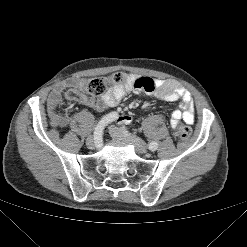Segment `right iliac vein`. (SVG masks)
I'll use <instances>...</instances> for the list:
<instances>
[{"mask_svg": "<svg viewBox=\"0 0 247 247\" xmlns=\"http://www.w3.org/2000/svg\"><path fill=\"white\" fill-rule=\"evenodd\" d=\"M86 145L90 149H94L95 148V140L93 139V137H88L87 138Z\"/></svg>", "mask_w": 247, "mask_h": 247, "instance_id": "obj_1", "label": "right iliac vein"}]
</instances>
